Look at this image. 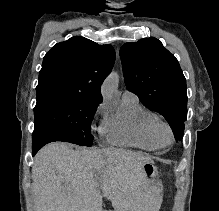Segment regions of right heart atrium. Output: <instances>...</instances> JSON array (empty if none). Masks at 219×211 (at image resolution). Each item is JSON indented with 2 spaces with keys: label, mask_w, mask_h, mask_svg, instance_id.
<instances>
[{
  "label": "right heart atrium",
  "mask_w": 219,
  "mask_h": 211,
  "mask_svg": "<svg viewBox=\"0 0 219 211\" xmlns=\"http://www.w3.org/2000/svg\"><path fill=\"white\" fill-rule=\"evenodd\" d=\"M106 111H107V104L103 102L96 108L94 112V117L105 114ZM104 127H105V120L101 124V128H100L101 132H104Z\"/></svg>",
  "instance_id": "1"
}]
</instances>
